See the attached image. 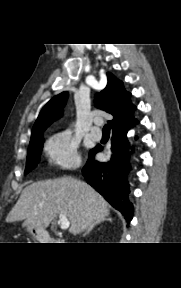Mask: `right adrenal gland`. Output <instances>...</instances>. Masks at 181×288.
Segmentation results:
<instances>
[{
	"label": "right adrenal gland",
	"mask_w": 181,
	"mask_h": 288,
	"mask_svg": "<svg viewBox=\"0 0 181 288\" xmlns=\"http://www.w3.org/2000/svg\"><path fill=\"white\" fill-rule=\"evenodd\" d=\"M108 221H112L111 218H107ZM96 225V223H92L86 230V232L83 234V236L87 235L93 228L94 226Z\"/></svg>",
	"instance_id": "1"
}]
</instances>
